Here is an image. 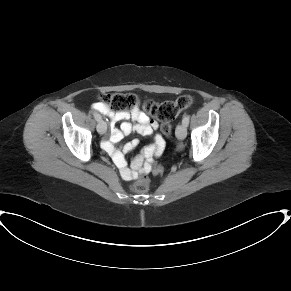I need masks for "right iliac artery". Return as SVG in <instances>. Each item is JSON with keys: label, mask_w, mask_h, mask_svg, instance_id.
Returning <instances> with one entry per match:
<instances>
[{"label": "right iliac artery", "mask_w": 291, "mask_h": 291, "mask_svg": "<svg viewBox=\"0 0 291 291\" xmlns=\"http://www.w3.org/2000/svg\"><path fill=\"white\" fill-rule=\"evenodd\" d=\"M94 118L96 119V121H101V115L98 114L97 112L94 113Z\"/></svg>", "instance_id": "1"}]
</instances>
